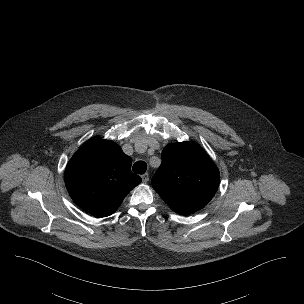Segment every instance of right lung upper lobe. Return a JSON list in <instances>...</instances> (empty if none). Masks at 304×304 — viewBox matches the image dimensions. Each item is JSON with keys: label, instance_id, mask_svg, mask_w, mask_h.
<instances>
[{"label": "right lung upper lobe", "instance_id": "cb5924a9", "mask_svg": "<svg viewBox=\"0 0 304 304\" xmlns=\"http://www.w3.org/2000/svg\"><path fill=\"white\" fill-rule=\"evenodd\" d=\"M132 159L112 141H87L66 166L64 180L74 202L96 217L113 214L142 180L131 172Z\"/></svg>", "mask_w": 304, "mask_h": 304}]
</instances>
